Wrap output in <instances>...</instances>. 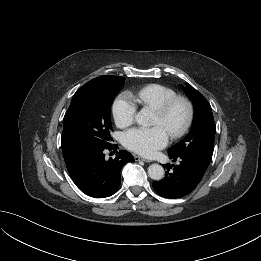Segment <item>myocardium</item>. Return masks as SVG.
Segmentation results:
<instances>
[{
  "instance_id": "1",
  "label": "myocardium",
  "mask_w": 261,
  "mask_h": 261,
  "mask_svg": "<svg viewBox=\"0 0 261 261\" xmlns=\"http://www.w3.org/2000/svg\"><path fill=\"white\" fill-rule=\"evenodd\" d=\"M178 104H182L185 108V119L179 128L169 133V136L173 139L182 137L190 128L194 117V107L192 102L185 96L176 95L155 110V113L160 118L165 119L169 116L173 108Z\"/></svg>"
}]
</instances>
